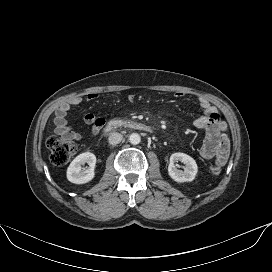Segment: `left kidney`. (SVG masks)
Listing matches in <instances>:
<instances>
[{
	"label": "left kidney",
	"mask_w": 272,
	"mask_h": 272,
	"mask_svg": "<svg viewBox=\"0 0 272 272\" xmlns=\"http://www.w3.org/2000/svg\"><path fill=\"white\" fill-rule=\"evenodd\" d=\"M181 161L185 164L184 171L178 170L174 163ZM198 172V167L195 160L185 153H173L170 156V164L168 166V175L176 182H190Z\"/></svg>",
	"instance_id": "obj_1"
}]
</instances>
